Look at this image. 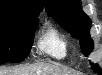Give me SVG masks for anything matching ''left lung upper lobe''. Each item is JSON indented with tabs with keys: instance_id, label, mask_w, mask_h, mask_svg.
Segmentation results:
<instances>
[{
	"instance_id": "5c2ea615",
	"label": "left lung upper lobe",
	"mask_w": 102,
	"mask_h": 75,
	"mask_svg": "<svg viewBox=\"0 0 102 75\" xmlns=\"http://www.w3.org/2000/svg\"><path fill=\"white\" fill-rule=\"evenodd\" d=\"M45 2L48 15L74 38L80 39L82 52L89 54L93 49V41L89 34L91 22L80 7V0H45ZM93 69L100 72L97 65H94Z\"/></svg>"
}]
</instances>
